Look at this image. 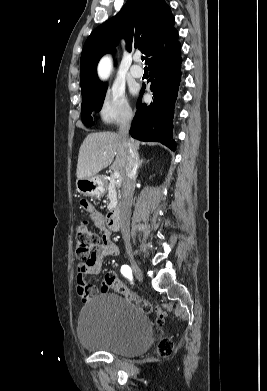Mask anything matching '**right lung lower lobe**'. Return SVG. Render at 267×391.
<instances>
[{"instance_id": "1", "label": "right lung lower lobe", "mask_w": 267, "mask_h": 391, "mask_svg": "<svg viewBox=\"0 0 267 391\" xmlns=\"http://www.w3.org/2000/svg\"><path fill=\"white\" fill-rule=\"evenodd\" d=\"M180 54L181 45L177 43L148 63L154 101L149 106L141 103L145 89L143 86L130 129L132 137L142 141L161 142L173 151L176 147L172 140L174 104L181 81Z\"/></svg>"}]
</instances>
